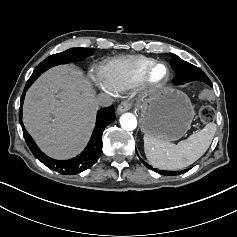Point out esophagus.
Segmentation results:
<instances>
[{"label":"esophagus","mask_w":237,"mask_h":237,"mask_svg":"<svg viewBox=\"0 0 237 237\" xmlns=\"http://www.w3.org/2000/svg\"><path fill=\"white\" fill-rule=\"evenodd\" d=\"M132 107V103L130 101H123L117 108V113L121 114L125 111H128Z\"/></svg>","instance_id":"1"}]
</instances>
